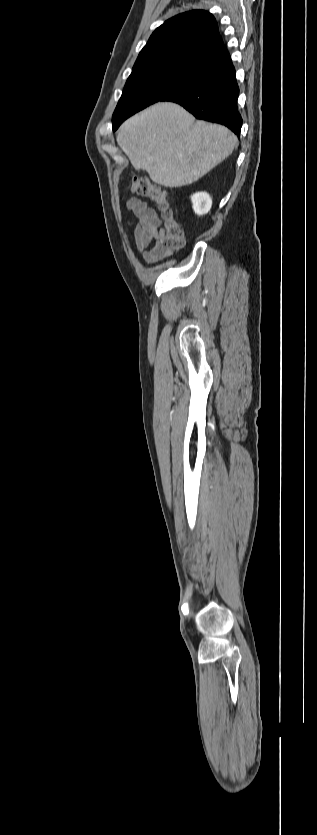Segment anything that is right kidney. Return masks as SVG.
I'll use <instances>...</instances> for the list:
<instances>
[{
  "label": "right kidney",
  "instance_id": "right-kidney-1",
  "mask_svg": "<svg viewBox=\"0 0 317 835\" xmlns=\"http://www.w3.org/2000/svg\"><path fill=\"white\" fill-rule=\"evenodd\" d=\"M193 210L198 216L205 215L212 206V199L207 192H197L191 196Z\"/></svg>",
  "mask_w": 317,
  "mask_h": 835
}]
</instances>
